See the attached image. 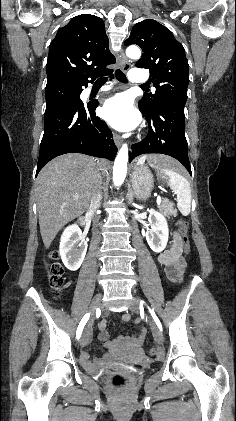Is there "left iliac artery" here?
Instances as JSON below:
<instances>
[{
  "label": "left iliac artery",
  "instance_id": "obj_1",
  "mask_svg": "<svg viewBox=\"0 0 236 421\" xmlns=\"http://www.w3.org/2000/svg\"><path fill=\"white\" fill-rule=\"evenodd\" d=\"M143 304H144V301H140V306H143ZM148 309H149V311H150V313H151V315H152V317H153V319H154V321L156 322V324L158 325V327H159V329H160V331H162V325H161V323H160V321H159V319H158V317L156 316V314H155V312H154V310L153 309H150L149 307H148Z\"/></svg>",
  "mask_w": 236,
  "mask_h": 421
}]
</instances>
